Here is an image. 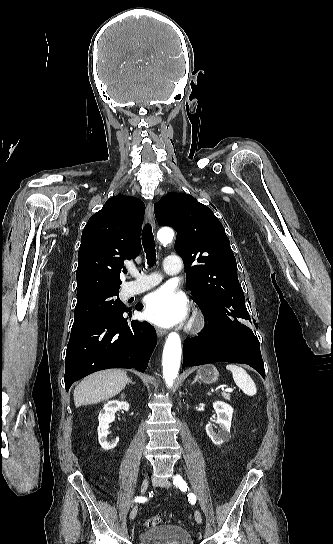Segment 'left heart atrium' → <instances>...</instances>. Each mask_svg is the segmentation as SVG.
Segmentation results:
<instances>
[{"label":"left heart atrium","instance_id":"39dd6f15","mask_svg":"<svg viewBox=\"0 0 333 544\" xmlns=\"http://www.w3.org/2000/svg\"><path fill=\"white\" fill-rule=\"evenodd\" d=\"M144 316L150 322L168 327L185 319L188 305L185 296L171 288H160L145 298Z\"/></svg>","mask_w":333,"mask_h":544}]
</instances>
